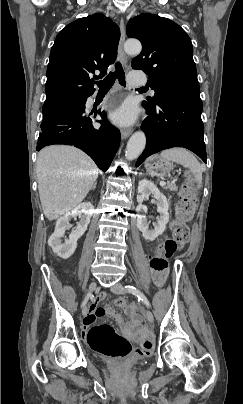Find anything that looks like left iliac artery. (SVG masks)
<instances>
[{
	"instance_id": "left-iliac-artery-1",
	"label": "left iliac artery",
	"mask_w": 243,
	"mask_h": 404,
	"mask_svg": "<svg viewBox=\"0 0 243 404\" xmlns=\"http://www.w3.org/2000/svg\"><path fill=\"white\" fill-rule=\"evenodd\" d=\"M123 289L135 295L138 300H141L147 307H151L150 302L148 301L147 297L136 287L126 285Z\"/></svg>"
}]
</instances>
